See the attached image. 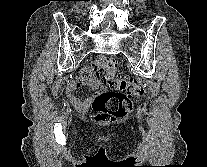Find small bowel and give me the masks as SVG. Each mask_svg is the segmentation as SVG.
<instances>
[{
	"instance_id": "obj_1",
	"label": "small bowel",
	"mask_w": 207,
	"mask_h": 167,
	"mask_svg": "<svg viewBox=\"0 0 207 167\" xmlns=\"http://www.w3.org/2000/svg\"><path fill=\"white\" fill-rule=\"evenodd\" d=\"M81 85H88L93 90H98L99 83L94 78H92L88 72H85L84 74L78 76L75 81L68 84L66 94L70 103L77 111L83 113L86 112L91 106L94 96H89L84 101H81L75 94L76 89Z\"/></svg>"
}]
</instances>
